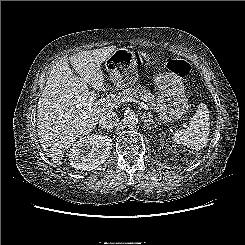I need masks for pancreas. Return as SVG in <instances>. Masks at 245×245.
<instances>
[{"label": "pancreas", "mask_w": 245, "mask_h": 245, "mask_svg": "<svg viewBox=\"0 0 245 245\" xmlns=\"http://www.w3.org/2000/svg\"><path fill=\"white\" fill-rule=\"evenodd\" d=\"M129 96L137 97V98L139 97L148 106L152 108L157 107V99L155 98V96L150 91L139 86L122 89L121 92H119L116 97V102L119 103L123 98Z\"/></svg>", "instance_id": "obj_1"}]
</instances>
